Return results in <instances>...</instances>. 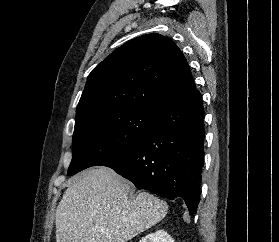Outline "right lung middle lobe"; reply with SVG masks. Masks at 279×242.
Here are the masks:
<instances>
[{
  "instance_id": "obj_1",
  "label": "right lung middle lobe",
  "mask_w": 279,
  "mask_h": 242,
  "mask_svg": "<svg viewBox=\"0 0 279 242\" xmlns=\"http://www.w3.org/2000/svg\"><path fill=\"white\" fill-rule=\"evenodd\" d=\"M157 116L146 110L118 109L76 117L68 175L101 165L133 147L153 130Z\"/></svg>"
}]
</instances>
